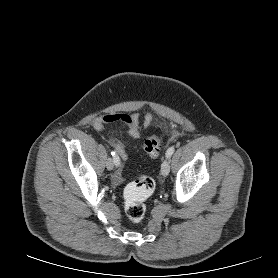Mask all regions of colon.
<instances>
[{
    "label": "colon",
    "mask_w": 278,
    "mask_h": 278,
    "mask_svg": "<svg viewBox=\"0 0 278 278\" xmlns=\"http://www.w3.org/2000/svg\"><path fill=\"white\" fill-rule=\"evenodd\" d=\"M160 148L161 139L157 136L149 137L144 142V150L151 158L159 155ZM154 189L155 181L147 175H140L125 188V211L132 222L142 221L146 213L145 201L151 196Z\"/></svg>",
    "instance_id": "obj_1"
}]
</instances>
